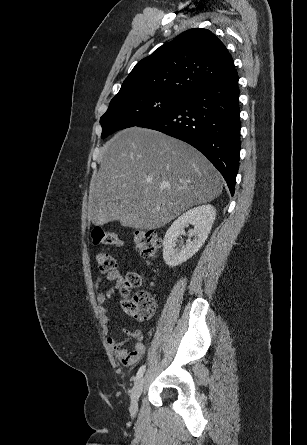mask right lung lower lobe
Wrapping results in <instances>:
<instances>
[{
    "label": "right lung lower lobe",
    "mask_w": 307,
    "mask_h": 445,
    "mask_svg": "<svg viewBox=\"0 0 307 445\" xmlns=\"http://www.w3.org/2000/svg\"><path fill=\"white\" fill-rule=\"evenodd\" d=\"M238 100V75L234 70L138 127L163 132L198 149L223 175L234 195L240 153Z\"/></svg>",
    "instance_id": "right-lung-lower-lobe-1"
}]
</instances>
